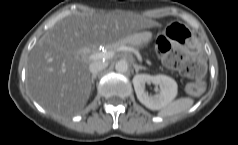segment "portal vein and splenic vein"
Returning <instances> with one entry per match:
<instances>
[{
  "label": "portal vein and splenic vein",
  "instance_id": "portal-vein-and-splenic-vein-1",
  "mask_svg": "<svg viewBox=\"0 0 238 145\" xmlns=\"http://www.w3.org/2000/svg\"><path fill=\"white\" fill-rule=\"evenodd\" d=\"M125 50L133 52L136 57L138 58L139 61H142V57L139 53V51L133 47H126ZM115 54V51H108V52H100V53H95V54H91L89 56L90 60H98V59H107V58H111L113 57Z\"/></svg>",
  "mask_w": 238,
  "mask_h": 145
}]
</instances>
